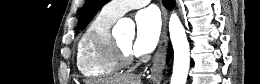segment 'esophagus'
Returning a JSON list of instances; mask_svg holds the SVG:
<instances>
[{
    "label": "esophagus",
    "mask_w": 260,
    "mask_h": 84,
    "mask_svg": "<svg viewBox=\"0 0 260 84\" xmlns=\"http://www.w3.org/2000/svg\"><path fill=\"white\" fill-rule=\"evenodd\" d=\"M161 12H162L161 36H160L158 48L153 58V65L150 70L151 79L156 83H160L163 79V70L165 67L167 44H168L167 11L163 5L161 6Z\"/></svg>",
    "instance_id": "esophagus-1"
}]
</instances>
